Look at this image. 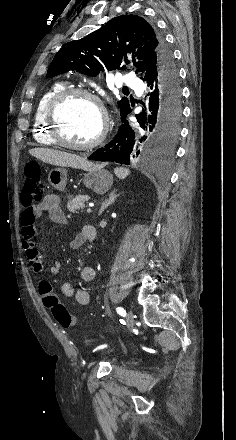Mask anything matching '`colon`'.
<instances>
[{
	"mask_svg": "<svg viewBox=\"0 0 236 440\" xmlns=\"http://www.w3.org/2000/svg\"><path fill=\"white\" fill-rule=\"evenodd\" d=\"M44 184L41 177L40 166L37 163H28L24 168V187L21 194V202L25 207L42 199ZM41 295L44 296L45 303L52 312L54 319L65 328L71 327L76 323V318L60 302L58 297L52 292L48 282L40 284Z\"/></svg>",
	"mask_w": 236,
	"mask_h": 440,
	"instance_id": "colon-1",
	"label": "colon"
}]
</instances>
